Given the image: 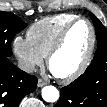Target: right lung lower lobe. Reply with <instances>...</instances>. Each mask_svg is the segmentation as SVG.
Listing matches in <instances>:
<instances>
[{
  "label": "right lung lower lobe",
  "mask_w": 107,
  "mask_h": 107,
  "mask_svg": "<svg viewBox=\"0 0 107 107\" xmlns=\"http://www.w3.org/2000/svg\"><path fill=\"white\" fill-rule=\"evenodd\" d=\"M36 86L34 75L17 68L8 57L0 56V107H18L21 99Z\"/></svg>",
  "instance_id": "1"
}]
</instances>
